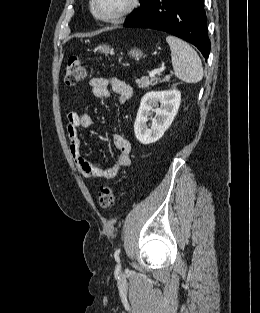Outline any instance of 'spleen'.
Wrapping results in <instances>:
<instances>
[{
	"label": "spleen",
	"instance_id": "3e777b00",
	"mask_svg": "<svg viewBox=\"0 0 260 313\" xmlns=\"http://www.w3.org/2000/svg\"><path fill=\"white\" fill-rule=\"evenodd\" d=\"M166 41L170 46L174 73L186 83H198L203 78V67L197 52L185 41L168 35Z\"/></svg>",
	"mask_w": 260,
	"mask_h": 313
}]
</instances>
